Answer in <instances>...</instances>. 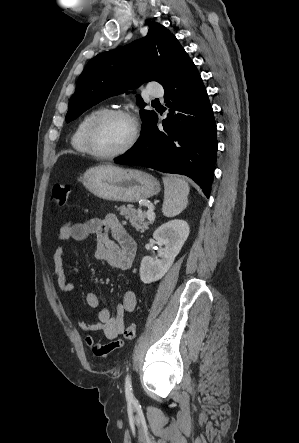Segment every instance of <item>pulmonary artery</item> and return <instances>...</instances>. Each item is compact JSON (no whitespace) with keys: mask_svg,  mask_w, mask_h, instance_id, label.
Returning a JSON list of instances; mask_svg holds the SVG:
<instances>
[{"mask_svg":"<svg viewBox=\"0 0 299 443\" xmlns=\"http://www.w3.org/2000/svg\"><path fill=\"white\" fill-rule=\"evenodd\" d=\"M148 93L152 97H162L164 90L160 85L153 83L148 86Z\"/></svg>","mask_w":299,"mask_h":443,"instance_id":"e3ab8cb5","label":"pulmonary artery"}]
</instances>
